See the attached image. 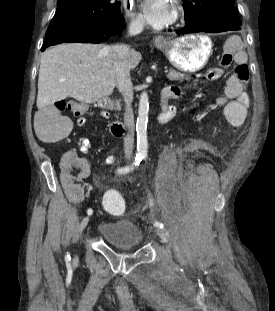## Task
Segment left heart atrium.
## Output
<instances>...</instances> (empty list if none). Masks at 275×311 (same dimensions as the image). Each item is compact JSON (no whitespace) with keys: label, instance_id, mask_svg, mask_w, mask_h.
I'll use <instances>...</instances> for the list:
<instances>
[{"label":"left heart atrium","instance_id":"obj_1","mask_svg":"<svg viewBox=\"0 0 275 311\" xmlns=\"http://www.w3.org/2000/svg\"><path fill=\"white\" fill-rule=\"evenodd\" d=\"M140 9L145 21L155 28H163L174 19L171 0H141Z\"/></svg>","mask_w":275,"mask_h":311}]
</instances>
